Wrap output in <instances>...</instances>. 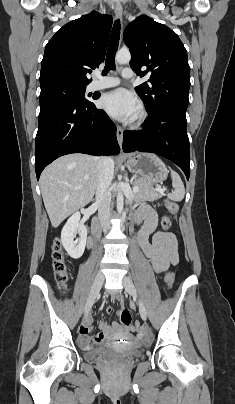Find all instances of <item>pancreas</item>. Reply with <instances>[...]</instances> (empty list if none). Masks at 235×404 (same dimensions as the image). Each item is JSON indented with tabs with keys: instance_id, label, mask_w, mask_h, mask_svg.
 I'll return each instance as SVG.
<instances>
[{
	"instance_id": "cf45deb5",
	"label": "pancreas",
	"mask_w": 235,
	"mask_h": 404,
	"mask_svg": "<svg viewBox=\"0 0 235 404\" xmlns=\"http://www.w3.org/2000/svg\"><path fill=\"white\" fill-rule=\"evenodd\" d=\"M134 187H138V192L135 194V201H154L162 197L163 192H155L153 188L142 179H134L132 181Z\"/></svg>"
}]
</instances>
